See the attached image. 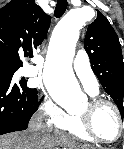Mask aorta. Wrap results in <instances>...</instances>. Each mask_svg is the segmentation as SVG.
<instances>
[{
	"mask_svg": "<svg viewBox=\"0 0 124 149\" xmlns=\"http://www.w3.org/2000/svg\"><path fill=\"white\" fill-rule=\"evenodd\" d=\"M85 22L86 14L81 9L70 10L58 22L44 70V83L51 97L56 101H69L74 107L80 105L83 94L72 69V60Z\"/></svg>",
	"mask_w": 124,
	"mask_h": 149,
	"instance_id": "aorta-1",
	"label": "aorta"
}]
</instances>
